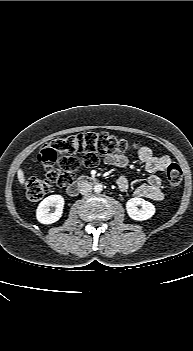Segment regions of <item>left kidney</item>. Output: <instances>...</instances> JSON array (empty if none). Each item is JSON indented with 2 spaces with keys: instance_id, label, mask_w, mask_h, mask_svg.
I'll return each instance as SVG.
<instances>
[{
  "instance_id": "left-kidney-1",
  "label": "left kidney",
  "mask_w": 193,
  "mask_h": 351,
  "mask_svg": "<svg viewBox=\"0 0 193 351\" xmlns=\"http://www.w3.org/2000/svg\"><path fill=\"white\" fill-rule=\"evenodd\" d=\"M138 206H141V208H138ZM126 210L129 217L136 221L147 220L155 214V206L138 197L131 198L127 201Z\"/></svg>"
}]
</instances>
